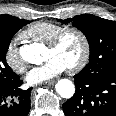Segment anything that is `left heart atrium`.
<instances>
[{
  "instance_id": "39dd6f15",
  "label": "left heart atrium",
  "mask_w": 116,
  "mask_h": 116,
  "mask_svg": "<svg viewBox=\"0 0 116 116\" xmlns=\"http://www.w3.org/2000/svg\"><path fill=\"white\" fill-rule=\"evenodd\" d=\"M67 65L57 57L48 59L44 64L32 68L26 75L29 84H37L57 77L67 69Z\"/></svg>"
}]
</instances>
